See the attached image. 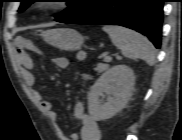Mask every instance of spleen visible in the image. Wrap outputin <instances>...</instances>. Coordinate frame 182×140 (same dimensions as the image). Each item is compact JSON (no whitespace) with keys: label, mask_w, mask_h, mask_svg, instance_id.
<instances>
[{"label":"spleen","mask_w":182,"mask_h":140,"mask_svg":"<svg viewBox=\"0 0 182 140\" xmlns=\"http://www.w3.org/2000/svg\"><path fill=\"white\" fill-rule=\"evenodd\" d=\"M103 30L108 33L112 43L122 54L130 59L144 60L148 65L155 63V48L143 35L121 26L106 25Z\"/></svg>","instance_id":"1"}]
</instances>
